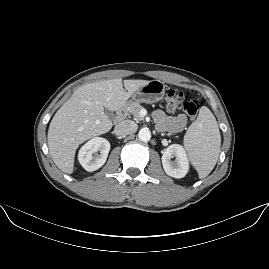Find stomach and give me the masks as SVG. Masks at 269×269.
Returning <instances> with one entry per match:
<instances>
[{
  "mask_svg": "<svg viewBox=\"0 0 269 269\" xmlns=\"http://www.w3.org/2000/svg\"><path fill=\"white\" fill-rule=\"evenodd\" d=\"M164 84L160 80H152L148 84L140 86L134 91L129 99V103H153L161 100L164 95Z\"/></svg>",
  "mask_w": 269,
  "mask_h": 269,
  "instance_id": "stomach-1",
  "label": "stomach"
}]
</instances>
